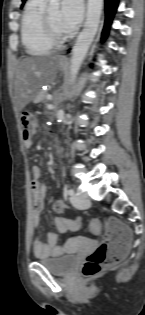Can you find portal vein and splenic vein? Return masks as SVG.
<instances>
[{
    "instance_id": "obj_1",
    "label": "portal vein and splenic vein",
    "mask_w": 145,
    "mask_h": 315,
    "mask_svg": "<svg viewBox=\"0 0 145 315\" xmlns=\"http://www.w3.org/2000/svg\"><path fill=\"white\" fill-rule=\"evenodd\" d=\"M47 99H48V100H51V99H52V96H51V95H47Z\"/></svg>"
}]
</instances>
